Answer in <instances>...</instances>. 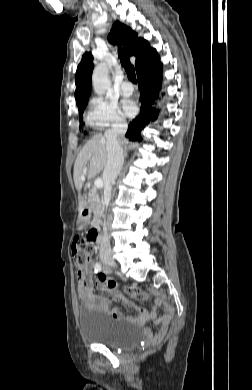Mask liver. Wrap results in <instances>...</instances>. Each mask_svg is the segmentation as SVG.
I'll use <instances>...</instances> for the list:
<instances>
[{
	"mask_svg": "<svg viewBox=\"0 0 252 390\" xmlns=\"http://www.w3.org/2000/svg\"><path fill=\"white\" fill-rule=\"evenodd\" d=\"M121 146L128 143L123 138L118 139ZM107 162L106 138L102 135H96L90 139L78 154L73 171L74 184L78 191L81 190L85 176L88 179L99 174ZM86 202L79 195V214L85 208Z\"/></svg>",
	"mask_w": 252,
	"mask_h": 390,
	"instance_id": "obj_1",
	"label": "liver"
}]
</instances>
